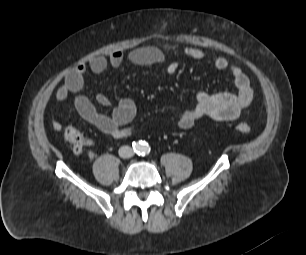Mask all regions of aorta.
<instances>
[{
  "label": "aorta",
  "instance_id": "1",
  "mask_svg": "<svg viewBox=\"0 0 306 255\" xmlns=\"http://www.w3.org/2000/svg\"><path fill=\"white\" fill-rule=\"evenodd\" d=\"M137 149L141 152H147L149 148L146 145H139Z\"/></svg>",
  "mask_w": 306,
  "mask_h": 255
}]
</instances>
